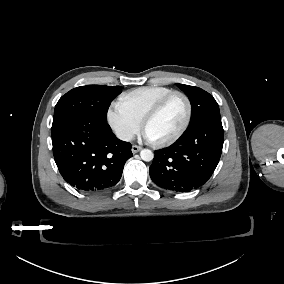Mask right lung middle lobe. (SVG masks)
<instances>
[{
    "instance_id": "obj_1",
    "label": "right lung middle lobe",
    "mask_w": 284,
    "mask_h": 284,
    "mask_svg": "<svg viewBox=\"0 0 284 284\" xmlns=\"http://www.w3.org/2000/svg\"><path fill=\"white\" fill-rule=\"evenodd\" d=\"M120 86L87 85L74 88L63 95L55 106L52 127L64 119L85 114L106 121L111 101L121 93Z\"/></svg>"
}]
</instances>
